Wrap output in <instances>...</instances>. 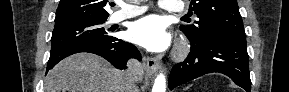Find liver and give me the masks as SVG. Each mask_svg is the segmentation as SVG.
Masks as SVG:
<instances>
[{
	"mask_svg": "<svg viewBox=\"0 0 289 92\" xmlns=\"http://www.w3.org/2000/svg\"><path fill=\"white\" fill-rule=\"evenodd\" d=\"M44 86L45 92H127L124 71L90 53L59 62L48 72Z\"/></svg>",
	"mask_w": 289,
	"mask_h": 92,
	"instance_id": "obj_1",
	"label": "liver"
}]
</instances>
